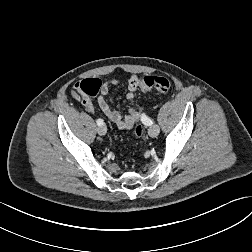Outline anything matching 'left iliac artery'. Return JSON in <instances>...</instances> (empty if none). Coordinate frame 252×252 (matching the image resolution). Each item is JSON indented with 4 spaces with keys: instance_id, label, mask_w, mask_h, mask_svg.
I'll return each mask as SVG.
<instances>
[{
    "instance_id": "1",
    "label": "left iliac artery",
    "mask_w": 252,
    "mask_h": 252,
    "mask_svg": "<svg viewBox=\"0 0 252 252\" xmlns=\"http://www.w3.org/2000/svg\"><path fill=\"white\" fill-rule=\"evenodd\" d=\"M139 118L141 124L143 125L151 126L152 124H154V121L148 118V115L145 112L140 113Z\"/></svg>"
}]
</instances>
